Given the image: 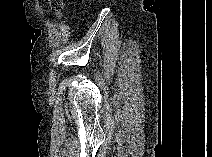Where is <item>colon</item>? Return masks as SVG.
<instances>
[{
  "instance_id": "colon-1",
  "label": "colon",
  "mask_w": 212,
  "mask_h": 157,
  "mask_svg": "<svg viewBox=\"0 0 212 157\" xmlns=\"http://www.w3.org/2000/svg\"><path fill=\"white\" fill-rule=\"evenodd\" d=\"M49 6L53 11L60 13L63 8V2L60 0H50Z\"/></svg>"
}]
</instances>
